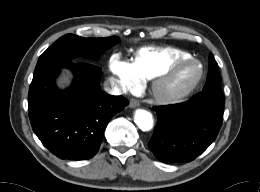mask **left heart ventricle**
I'll return each mask as SVG.
<instances>
[{
  "label": "left heart ventricle",
  "mask_w": 260,
  "mask_h": 192,
  "mask_svg": "<svg viewBox=\"0 0 260 192\" xmlns=\"http://www.w3.org/2000/svg\"><path fill=\"white\" fill-rule=\"evenodd\" d=\"M197 69L187 66L180 69L173 77L162 84L159 88L161 93H171L189 84L196 76Z\"/></svg>",
  "instance_id": "obj_1"
}]
</instances>
